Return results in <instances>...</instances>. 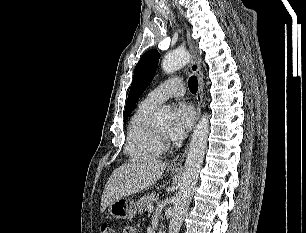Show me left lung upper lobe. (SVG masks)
I'll return each instance as SVG.
<instances>
[{
    "instance_id": "left-lung-upper-lobe-1",
    "label": "left lung upper lobe",
    "mask_w": 306,
    "mask_h": 233,
    "mask_svg": "<svg viewBox=\"0 0 306 233\" xmlns=\"http://www.w3.org/2000/svg\"><path fill=\"white\" fill-rule=\"evenodd\" d=\"M159 58L160 54L157 50H150L137 63L125 107L124 121L131 114L139 97L153 79Z\"/></svg>"
}]
</instances>
